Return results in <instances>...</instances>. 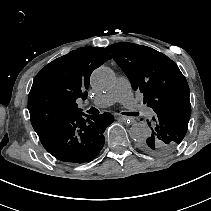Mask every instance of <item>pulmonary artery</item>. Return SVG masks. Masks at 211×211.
Wrapping results in <instances>:
<instances>
[{"label": "pulmonary artery", "mask_w": 211, "mask_h": 211, "mask_svg": "<svg viewBox=\"0 0 211 211\" xmlns=\"http://www.w3.org/2000/svg\"><path fill=\"white\" fill-rule=\"evenodd\" d=\"M129 81L126 77H119L113 86V88L106 94L97 97L91 104L92 107L97 109H103L111 106L119 100V103L124 108H131L136 103V96L131 92ZM119 97V99H118ZM142 114L144 118L151 120L155 118L157 111L155 107L148 105L144 107Z\"/></svg>", "instance_id": "e3ab8cb5"}]
</instances>
